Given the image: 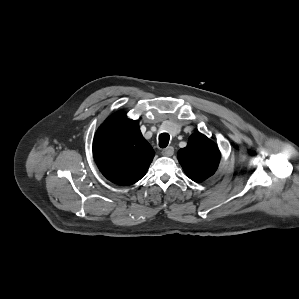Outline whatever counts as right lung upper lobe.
I'll use <instances>...</instances> for the list:
<instances>
[{
  "label": "right lung upper lobe",
  "mask_w": 299,
  "mask_h": 299,
  "mask_svg": "<svg viewBox=\"0 0 299 299\" xmlns=\"http://www.w3.org/2000/svg\"><path fill=\"white\" fill-rule=\"evenodd\" d=\"M93 155L108 180L125 186L136 183L146 174L155 152L142 136L139 123L119 111L98 128Z\"/></svg>",
  "instance_id": "right-lung-upper-lobe-1"
}]
</instances>
